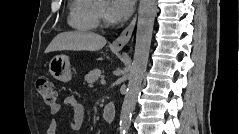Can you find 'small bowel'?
Here are the masks:
<instances>
[{"label":"small bowel","mask_w":239,"mask_h":134,"mask_svg":"<svg viewBox=\"0 0 239 134\" xmlns=\"http://www.w3.org/2000/svg\"><path fill=\"white\" fill-rule=\"evenodd\" d=\"M64 104L71 109V127L74 130H79L82 127L85 110L82 104H80L73 96H69L64 100ZM61 110V105L54 103L50 106V113L57 115ZM57 121L53 119L47 129V134H56Z\"/></svg>","instance_id":"c3829d8e"}]
</instances>
